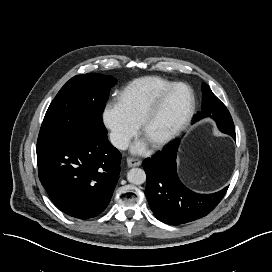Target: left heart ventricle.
Instances as JSON below:
<instances>
[{"label": "left heart ventricle", "mask_w": 272, "mask_h": 272, "mask_svg": "<svg viewBox=\"0 0 272 272\" xmlns=\"http://www.w3.org/2000/svg\"><path fill=\"white\" fill-rule=\"evenodd\" d=\"M187 91L180 88L168 99L151 122L145 137L151 140L172 130L182 119L188 105Z\"/></svg>", "instance_id": "1"}]
</instances>
